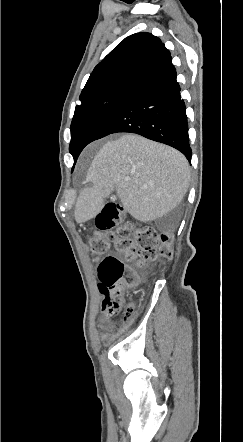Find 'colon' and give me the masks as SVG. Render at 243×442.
<instances>
[{
    "mask_svg": "<svg viewBox=\"0 0 243 442\" xmlns=\"http://www.w3.org/2000/svg\"><path fill=\"white\" fill-rule=\"evenodd\" d=\"M95 226L89 244L96 260L103 306L116 317L112 324L113 333L117 326L130 324L135 316V307L127 300L126 292L137 285L140 275L136 267L127 266L109 254V250L114 247L125 261L137 259V267L142 269L149 260L172 257L173 237L169 232L157 231L151 226L132 231L117 200L105 204L95 217Z\"/></svg>",
    "mask_w": 243,
    "mask_h": 442,
    "instance_id": "colon-1",
    "label": "colon"
}]
</instances>
